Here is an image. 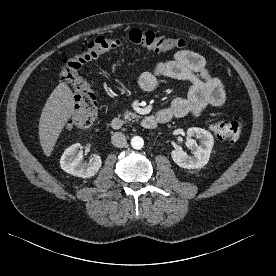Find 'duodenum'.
Masks as SVG:
<instances>
[{
    "label": "duodenum",
    "instance_id": "obj_1",
    "mask_svg": "<svg viewBox=\"0 0 276 276\" xmlns=\"http://www.w3.org/2000/svg\"><path fill=\"white\" fill-rule=\"evenodd\" d=\"M170 119L159 112L156 116H146L142 119L141 125L143 128L152 130L157 127L158 124L166 123ZM124 126V121L119 118L115 117L111 120V128L113 130H121Z\"/></svg>",
    "mask_w": 276,
    "mask_h": 276
}]
</instances>
